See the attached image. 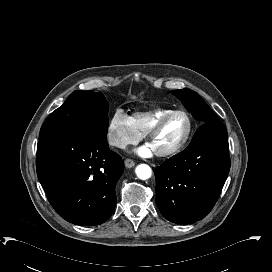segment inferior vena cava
<instances>
[{"mask_svg":"<svg viewBox=\"0 0 272 272\" xmlns=\"http://www.w3.org/2000/svg\"><path fill=\"white\" fill-rule=\"evenodd\" d=\"M109 144L112 146L119 147V148H123L126 146V143L116 136L109 137Z\"/></svg>","mask_w":272,"mask_h":272,"instance_id":"602c4592","label":"inferior vena cava"}]
</instances>
